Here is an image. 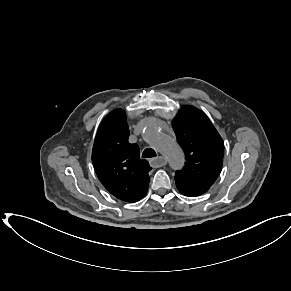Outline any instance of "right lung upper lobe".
Here are the masks:
<instances>
[{
  "label": "right lung upper lobe",
  "mask_w": 291,
  "mask_h": 291,
  "mask_svg": "<svg viewBox=\"0 0 291 291\" xmlns=\"http://www.w3.org/2000/svg\"><path fill=\"white\" fill-rule=\"evenodd\" d=\"M126 114L114 109L101 122L97 131L92 163L98 179L116 198L137 202L149 186L148 161L140 159L137 144L128 142Z\"/></svg>",
  "instance_id": "cb5924a9"
}]
</instances>
